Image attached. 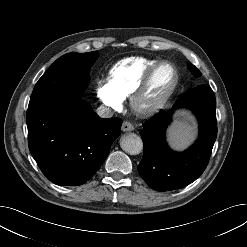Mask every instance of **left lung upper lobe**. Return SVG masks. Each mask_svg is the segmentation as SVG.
<instances>
[{"mask_svg": "<svg viewBox=\"0 0 247 247\" xmlns=\"http://www.w3.org/2000/svg\"><path fill=\"white\" fill-rule=\"evenodd\" d=\"M189 69L195 76H201V72L194 65L189 64Z\"/></svg>", "mask_w": 247, "mask_h": 247, "instance_id": "left-lung-upper-lobe-1", "label": "left lung upper lobe"}]
</instances>
